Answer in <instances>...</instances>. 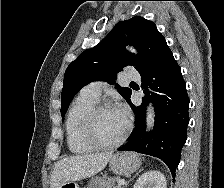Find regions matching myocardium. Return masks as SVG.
<instances>
[{
	"label": "myocardium",
	"instance_id": "f54148a6",
	"mask_svg": "<svg viewBox=\"0 0 224 188\" xmlns=\"http://www.w3.org/2000/svg\"><path fill=\"white\" fill-rule=\"evenodd\" d=\"M113 109L108 104L99 103L92 107L87 115L85 116L83 122V136L85 140L94 148L98 149H112L120 146L126 139L129 131H130V124L127 123L124 131L122 134L117 138L115 141L112 142H103L101 141L95 132V124L98 115L106 110Z\"/></svg>",
	"mask_w": 224,
	"mask_h": 188
}]
</instances>
